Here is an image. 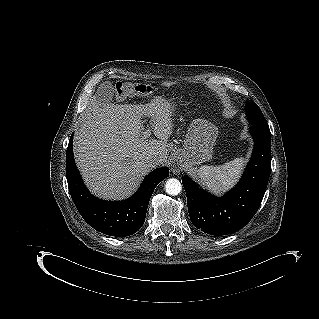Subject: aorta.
<instances>
[{"mask_svg": "<svg viewBox=\"0 0 319 319\" xmlns=\"http://www.w3.org/2000/svg\"><path fill=\"white\" fill-rule=\"evenodd\" d=\"M166 193L171 196H176L181 193L182 185L179 180L175 178H170L165 183Z\"/></svg>", "mask_w": 319, "mask_h": 319, "instance_id": "1", "label": "aorta"}]
</instances>
